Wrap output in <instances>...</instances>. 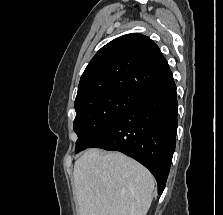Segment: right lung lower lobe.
Segmentation results:
<instances>
[{"label": "right lung lower lobe", "mask_w": 223, "mask_h": 215, "mask_svg": "<svg viewBox=\"0 0 223 215\" xmlns=\"http://www.w3.org/2000/svg\"><path fill=\"white\" fill-rule=\"evenodd\" d=\"M178 102L174 79L149 90L90 148L120 151L144 165L165 188L176 145Z\"/></svg>", "instance_id": "1"}]
</instances>
